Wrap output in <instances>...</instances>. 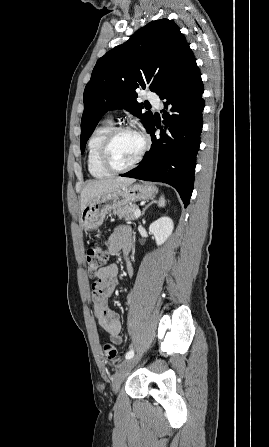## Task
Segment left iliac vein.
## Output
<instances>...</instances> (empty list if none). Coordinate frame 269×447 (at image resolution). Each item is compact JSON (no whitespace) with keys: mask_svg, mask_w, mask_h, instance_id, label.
Listing matches in <instances>:
<instances>
[{"mask_svg":"<svg viewBox=\"0 0 269 447\" xmlns=\"http://www.w3.org/2000/svg\"><path fill=\"white\" fill-rule=\"evenodd\" d=\"M139 361V356L136 355L130 359H127L119 364V371L113 375L112 390L117 392L122 381L129 374L130 369L133 368Z\"/></svg>","mask_w":269,"mask_h":447,"instance_id":"4c4485c4","label":"left iliac vein"}]
</instances>
